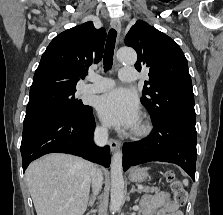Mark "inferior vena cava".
<instances>
[{
    "instance_id": "obj_1",
    "label": "inferior vena cava",
    "mask_w": 223,
    "mask_h": 215,
    "mask_svg": "<svg viewBox=\"0 0 223 215\" xmlns=\"http://www.w3.org/2000/svg\"><path fill=\"white\" fill-rule=\"evenodd\" d=\"M94 139L98 145H105V143L108 141V129H106V127H97V129H95ZM91 175V183L94 187V193L96 195V193H98V191L101 189L103 175L100 169H97L95 165H92Z\"/></svg>"
}]
</instances>
